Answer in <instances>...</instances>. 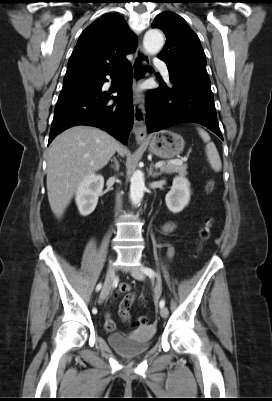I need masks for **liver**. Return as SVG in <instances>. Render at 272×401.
Returning a JSON list of instances; mask_svg holds the SVG:
<instances>
[{
  "label": "liver",
  "instance_id": "6515ba94",
  "mask_svg": "<svg viewBox=\"0 0 272 401\" xmlns=\"http://www.w3.org/2000/svg\"><path fill=\"white\" fill-rule=\"evenodd\" d=\"M126 149L107 132L75 126L58 135L48 150L47 193L53 214L61 217L80 182Z\"/></svg>",
  "mask_w": 272,
  "mask_h": 401
}]
</instances>
